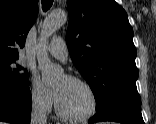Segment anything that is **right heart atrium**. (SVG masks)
Wrapping results in <instances>:
<instances>
[{
    "mask_svg": "<svg viewBox=\"0 0 156 124\" xmlns=\"http://www.w3.org/2000/svg\"><path fill=\"white\" fill-rule=\"evenodd\" d=\"M30 98L35 109L49 113L53 106V96L37 77H32L30 84Z\"/></svg>",
    "mask_w": 156,
    "mask_h": 124,
    "instance_id": "1",
    "label": "right heart atrium"
}]
</instances>
